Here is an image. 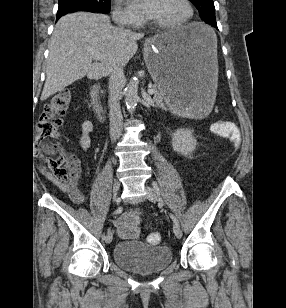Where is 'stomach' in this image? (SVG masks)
I'll return each instance as SVG.
<instances>
[{"instance_id":"0dacf381","label":"stomach","mask_w":286,"mask_h":308,"mask_svg":"<svg viewBox=\"0 0 286 308\" xmlns=\"http://www.w3.org/2000/svg\"><path fill=\"white\" fill-rule=\"evenodd\" d=\"M144 59L167 107H211L217 86V38L207 25L192 23L155 35Z\"/></svg>"}]
</instances>
